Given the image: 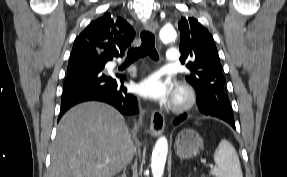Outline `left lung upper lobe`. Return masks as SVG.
Here are the masks:
<instances>
[{
    "mask_svg": "<svg viewBox=\"0 0 287 177\" xmlns=\"http://www.w3.org/2000/svg\"><path fill=\"white\" fill-rule=\"evenodd\" d=\"M178 28L181 33L180 60L184 64L185 59H192L186 64L190 70L186 80L196 89L197 103L209 105L214 93L226 96L225 78L212 35L193 17H182ZM227 108L231 112L230 103Z\"/></svg>",
    "mask_w": 287,
    "mask_h": 177,
    "instance_id": "1",
    "label": "left lung upper lobe"
}]
</instances>
